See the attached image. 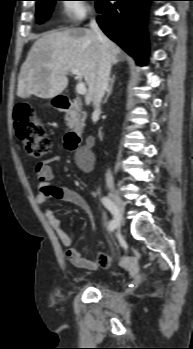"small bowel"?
I'll return each instance as SVG.
<instances>
[{"label":"small bowel","mask_w":193,"mask_h":349,"mask_svg":"<svg viewBox=\"0 0 193 349\" xmlns=\"http://www.w3.org/2000/svg\"><path fill=\"white\" fill-rule=\"evenodd\" d=\"M59 160V156H52L35 165V172L39 181L38 193L36 196L37 203L41 206H46L50 199H55L70 203L88 213L90 210L89 204L79 192L68 187H58L53 185L54 174L52 164ZM77 164L84 172H90L94 167L93 153L90 151L79 153L77 156ZM45 216L62 244L66 247H70L72 239L63 228L61 220L55 215L53 210L46 208ZM66 254L75 267L88 271L106 270L110 268L112 263V259L103 253H97L95 261L89 260L83 257L79 248L74 247L69 248Z\"/></svg>","instance_id":"small-bowel-1"}]
</instances>
